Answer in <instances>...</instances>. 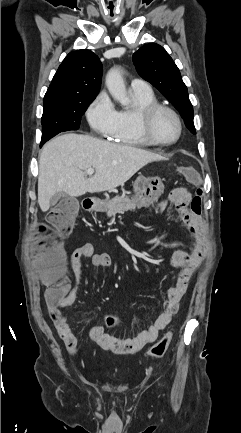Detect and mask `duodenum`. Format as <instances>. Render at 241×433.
I'll return each mask as SVG.
<instances>
[{
	"instance_id": "obj_1",
	"label": "duodenum",
	"mask_w": 241,
	"mask_h": 433,
	"mask_svg": "<svg viewBox=\"0 0 241 433\" xmlns=\"http://www.w3.org/2000/svg\"><path fill=\"white\" fill-rule=\"evenodd\" d=\"M97 205V201L93 198L87 197L83 199V207L88 212L94 211L97 208Z\"/></svg>"
}]
</instances>
